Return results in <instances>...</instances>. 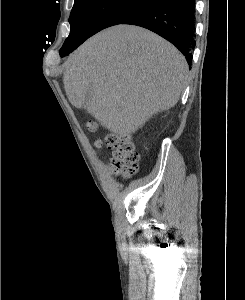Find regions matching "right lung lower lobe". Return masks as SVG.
Segmentation results:
<instances>
[{
  "instance_id": "1",
  "label": "right lung lower lobe",
  "mask_w": 245,
  "mask_h": 300,
  "mask_svg": "<svg viewBox=\"0 0 245 300\" xmlns=\"http://www.w3.org/2000/svg\"><path fill=\"white\" fill-rule=\"evenodd\" d=\"M195 1L155 0L150 6L122 22L149 29L174 44L191 63V52L195 47ZM67 49L65 56L76 49Z\"/></svg>"
}]
</instances>
